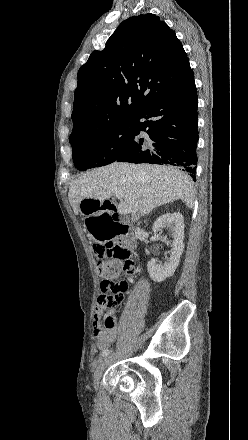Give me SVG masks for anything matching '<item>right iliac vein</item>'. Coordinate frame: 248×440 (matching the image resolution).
<instances>
[{
    "label": "right iliac vein",
    "instance_id": "obj_1",
    "mask_svg": "<svg viewBox=\"0 0 248 440\" xmlns=\"http://www.w3.org/2000/svg\"><path fill=\"white\" fill-rule=\"evenodd\" d=\"M110 358L109 357H101L95 367L94 374H93V381L94 385L97 386L98 382L106 369V367L109 365Z\"/></svg>",
    "mask_w": 248,
    "mask_h": 440
}]
</instances>
